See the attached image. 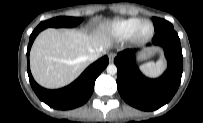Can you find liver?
<instances>
[{"mask_svg":"<svg viewBox=\"0 0 203 123\" xmlns=\"http://www.w3.org/2000/svg\"><path fill=\"white\" fill-rule=\"evenodd\" d=\"M112 46L104 24L93 33L75 29L48 28L35 39L30 52L31 72L36 82L49 89L74 81L89 65L91 53L104 54Z\"/></svg>","mask_w":203,"mask_h":123,"instance_id":"obj_1","label":"liver"}]
</instances>
